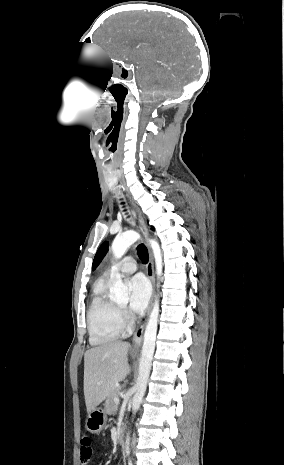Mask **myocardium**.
<instances>
[{
    "instance_id": "myocardium-1",
    "label": "myocardium",
    "mask_w": 284,
    "mask_h": 465,
    "mask_svg": "<svg viewBox=\"0 0 284 465\" xmlns=\"http://www.w3.org/2000/svg\"><path fill=\"white\" fill-rule=\"evenodd\" d=\"M118 309H119L120 314H121V312L124 311V310L121 309V308H118ZM121 317H122L123 321H119L118 323H119V326H120L122 329H124V328H126V327L129 325L128 321H126V320H128V318H123L122 315H121Z\"/></svg>"
}]
</instances>
